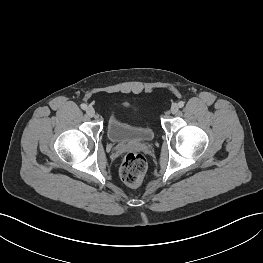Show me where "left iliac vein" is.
<instances>
[{"label":"left iliac vein","instance_id":"4c4485c4","mask_svg":"<svg viewBox=\"0 0 263 263\" xmlns=\"http://www.w3.org/2000/svg\"><path fill=\"white\" fill-rule=\"evenodd\" d=\"M178 110H179L178 104H173V105L171 106V112H172L173 114H176V113L178 112Z\"/></svg>","mask_w":263,"mask_h":263}]
</instances>
